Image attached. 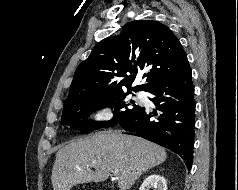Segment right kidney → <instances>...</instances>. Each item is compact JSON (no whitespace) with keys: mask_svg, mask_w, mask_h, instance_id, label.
Returning <instances> with one entry per match:
<instances>
[{"mask_svg":"<svg viewBox=\"0 0 238 190\" xmlns=\"http://www.w3.org/2000/svg\"><path fill=\"white\" fill-rule=\"evenodd\" d=\"M139 190H167L166 179L160 175H150L143 181Z\"/></svg>","mask_w":238,"mask_h":190,"instance_id":"right-kidney-1","label":"right kidney"}]
</instances>
